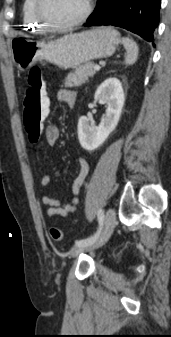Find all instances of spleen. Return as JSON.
<instances>
[{
    "label": "spleen",
    "mask_w": 171,
    "mask_h": 337,
    "mask_svg": "<svg viewBox=\"0 0 171 337\" xmlns=\"http://www.w3.org/2000/svg\"><path fill=\"white\" fill-rule=\"evenodd\" d=\"M122 44L126 49L125 63L126 65H132L137 61L139 48L137 43L128 37L122 38Z\"/></svg>",
    "instance_id": "1"
}]
</instances>
